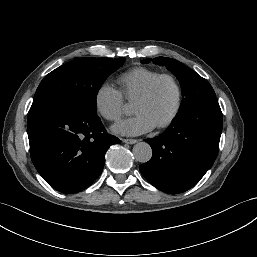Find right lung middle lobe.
<instances>
[{
	"instance_id": "1",
	"label": "right lung middle lobe",
	"mask_w": 257,
	"mask_h": 257,
	"mask_svg": "<svg viewBox=\"0 0 257 257\" xmlns=\"http://www.w3.org/2000/svg\"><path fill=\"white\" fill-rule=\"evenodd\" d=\"M124 61V58H79L58 67L41 81L30 109L69 108L96 114L100 87Z\"/></svg>"
}]
</instances>
